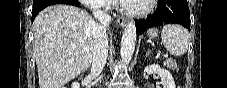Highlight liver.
<instances>
[{
	"instance_id": "6515ba94",
	"label": "liver",
	"mask_w": 227,
	"mask_h": 88,
	"mask_svg": "<svg viewBox=\"0 0 227 88\" xmlns=\"http://www.w3.org/2000/svg\"><path fill=\"white\" fill-rule=\"evenodd\" d=\"M97 23L73 5H52L34 20V52L40 88H62L93 60Z\"/></svg>"
}]
</instances>
